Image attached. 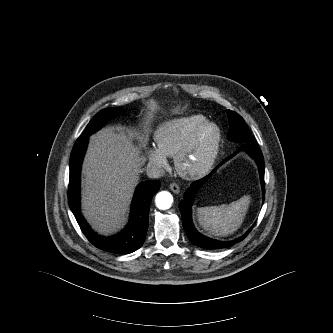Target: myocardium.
Here are the masks:
<instances>
[{
    "mask_svg": "<svg viewBox=\"0 0 333 333\" xmlns=\"http://www.w3.org/2000/svg\"><path fill=\"white\" fill-rule=\"evenodd\" d=\"M214 130V137L204 156L197 162L192 163V155L196 150L201 137L208 129ZM222 141L220 127L210 121H206L194 132L187 144L175 156V167L178 173L186 179H195L206 174L215 163Z\"/></svg>",
    "mask_w": 333,
    "mask_h": 333,
    "instance_id": "obj_1",
    "label": "myocardium"
}]
</instances>
